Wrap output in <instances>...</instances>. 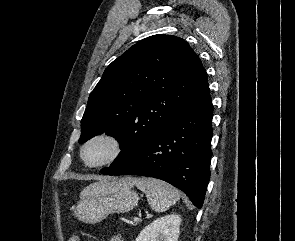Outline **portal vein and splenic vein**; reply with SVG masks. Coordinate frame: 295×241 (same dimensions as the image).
<instances>
[{
  "mask_svg": "<svg viewBox=\"0 0 295 241\" xmlns=\"http://www.w3.org/2000/svg\"><path fill=\"white\" fill-rule=\"evenodd\" d=\"M134 221H135V222H138V219L136 218V219H134Z\"/></svg>",
  "mask_w": 295,
  "mask_h": 241,
  "instance_id": "18ae733b",
  "label": "portal vein and splenic vein"
}]
</instances>
